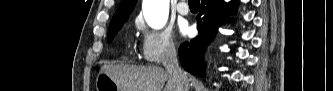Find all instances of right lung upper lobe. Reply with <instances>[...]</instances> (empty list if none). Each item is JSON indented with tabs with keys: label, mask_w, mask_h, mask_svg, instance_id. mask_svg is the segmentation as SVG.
I'll return each instance as SVG.
<instances>
[{
	"label": "right lung upper lobe",
	"mask_w": 333,
	"mask_h": 91,
	"mask_svg": "<svg viewBox=\"0 0 333 91\" xmlns=\"http://www.w3.org/2000/svg\"><path fill=\"white\" fill-rule=\"evenodd\" d=\"M137 0H121L120 6L112 18V21L129 18V14L135 7Z\"/></svg>",
	"instance_id": "right-lung-upper-lobe-1"
}]
</instances>
